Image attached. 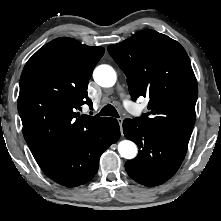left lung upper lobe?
Instances as JSON below:
<instances>
[{
  "instance_id": "obj_1",
  "label": "left lung upper lobe",
  "mask_w": 221,
  "mask_h": 221,
  "mask_svg": "<svg viewBox=\"0 0 221 221\" xmlns=\"http://www.w3.org/2000/svg\"><path fill=\"white\" fill-rule=\"evenodd\" d=\"M107 49L126 74L132 99L150 98V112L135 119L162 136L188 143L198 87L184 48L164 34L144 30Z\"/></svg>"
}]
</instances>
